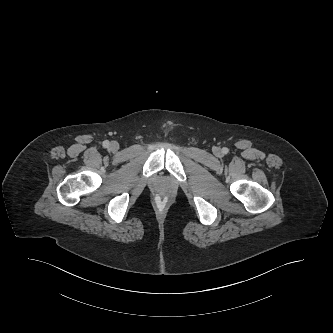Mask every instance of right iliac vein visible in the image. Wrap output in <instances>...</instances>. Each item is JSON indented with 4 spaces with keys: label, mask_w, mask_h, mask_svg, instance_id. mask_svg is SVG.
I'll list each match as a JSON object with an SVG mask.
<instances>
[{
    "label": "right iliac vein",
    "mask_w": 333,
    "mask_h": 333,
    "mask_svg": "<svg viewBox=\"0 0 333 333\" xmlns=\"http://www.w3.org/2000/svg\"><path fill=\"white\" fill-rule=\"evenodd\" d=\"M110 149H111V151L116 152V151L119 149V144H118V142H116V141H112V142L110 143Z\"/></svg>",
    "instance_id": "obj_1"
}]
</instances>
